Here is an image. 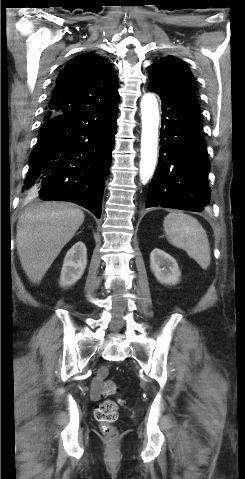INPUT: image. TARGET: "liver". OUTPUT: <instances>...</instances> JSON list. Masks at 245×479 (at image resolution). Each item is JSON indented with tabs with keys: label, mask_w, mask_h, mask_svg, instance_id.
Listing matches in <instances>:
<instances>
[{
	"label": "liver",
	"mask_w": 245,
	"mask_h": 479,
	"mask_svg": "<svg viewBox=\"0 0 245 479\" xmlns=\"http://www.w3.org/2000/svg\"><path fill=\"white\" fill-rule=\"evenodd\" d=\"M83 222L84 213L64 202H45L25 209L17 223L16 246L31 282L40 283Z\"/></svg>",
	"instance_id": "obj_1"
}]
</instances>
